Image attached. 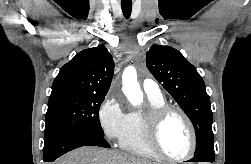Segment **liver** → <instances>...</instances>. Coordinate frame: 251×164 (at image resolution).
Listing matches in <instances>:
<instances>
[{
  "instance_id": "obj_1",
  "label": "liver",
  "mask_w": 251,
  "mask_h": 164,
  "mask_svg": "<svg viewBox=\"0 0 251 164\" xmlns=\"http://www.w3.org/2000/svg\"><path fill=\"white\" fill-rule=\"evenodd\" d=\"M53 164H156L120 151L99 147H81L59 158Z\"/></svg>"
}]
</instances>
